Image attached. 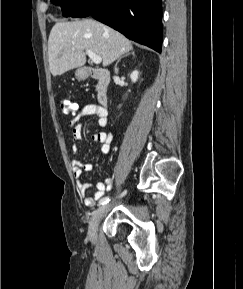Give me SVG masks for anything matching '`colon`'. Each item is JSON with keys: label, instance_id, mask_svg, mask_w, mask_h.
Returning a JSON list of instances; mask_svg holds the SVG:
<instances>
[{"label": "colon", "instance_id": "obj_1", "mask_svg": "<svg viewBox=\"0 0 243 289\" xmlns=\"http://www.w3.org/2000/svg\"><path fill=\"white\" fill-rule=\"evenodd\" d=\"M60 108L65 115H74L77 111V104L71 100L64 99L60 102Z\"/></svg>", "mask_w": 243, "mask_h": 289}]
</instances>
